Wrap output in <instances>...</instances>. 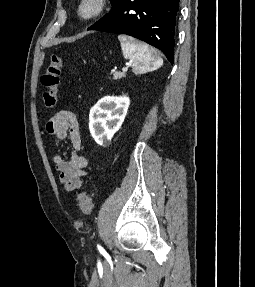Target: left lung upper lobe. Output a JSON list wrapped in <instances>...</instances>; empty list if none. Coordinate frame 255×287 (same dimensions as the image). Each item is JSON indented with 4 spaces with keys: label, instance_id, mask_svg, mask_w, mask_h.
Instances as JSON below:
<instances>
[{
    "label": "left lung upper lobe",
    "instance_id": "1",
    "mask_svg": "<svg viewBox=\"0 0 255 287\" xmlns=\"http://www.w3.org/2000/svg\"><path fill=\"white\" fill-rule=\"evenodd\" d=\"M117 0H111V3L114 4Z\"/></svg>",
    "mask_w": 255,
    "mask_h": 287
}]
</instances>
